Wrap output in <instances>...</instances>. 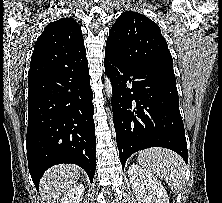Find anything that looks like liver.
<instances>
[{
    "label": "liver",
    "instance_id": "6515ba94",
    "mask_svg": "<svg viewBox=\"0 0 222 203\" xmlns=\"http://www.w3.org/2000/svg\"><path fill=\"white\" fill-rule=\"evenodd\" d=\"M80 177V169L72 164H60L48 169L40 180L42 199L47 203H57L62 194L75 184Z\"/></svg>",
    "mask_w": 222,
    "mask_h": 203
}]
</instances>
